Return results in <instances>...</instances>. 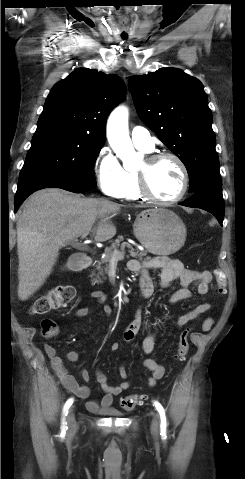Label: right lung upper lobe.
I'll use <instances>...</instances> for the list:
<instances>
[{
	"label": "right lung upper lobe",
	"instance_id": "right-lung-upper-lobe-1",
	"mask_svg": "<svg viewBox=\"0 0 245 479\" xmlns=\"http://www.w3.org/2000/svg\"><path fill=\"white\" fill-rule=\"evenodd\" d=\"M124 96L125 86L118 76L77 69L54 85L37 129H65L104 143L106 119Z\"/></svg>",
	"mask_w": 245,
	"mask_h": 479
}]
</instances>
